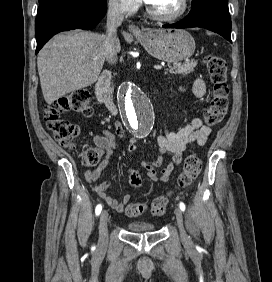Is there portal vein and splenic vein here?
<instances>
[{
    "mask_svg": "<svg viewBox=\"0 0 272 282\" xmlns=\"http://www.w3.org/2000/svg\"><path fill=\"white\" fill-rule=\"evenodd\" d=\"M154 68L157 69V70H161V69H162V66H160V65H155Z\"/></svg>",
    "mask_w": 272,
    "mask_h": 282,
    "instance_id": "obj_1",
    "label": "portal vein and splenic vein"
}]
</instances>
